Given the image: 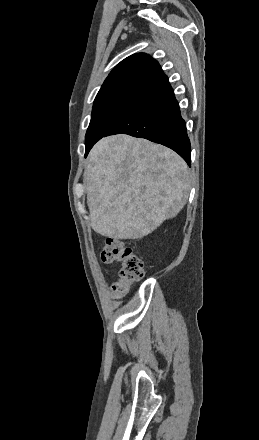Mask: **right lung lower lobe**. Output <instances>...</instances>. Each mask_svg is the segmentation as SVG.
<instances>
[{
	"label": "right lung lower lobe",
	"instance_id": "98d812e1",
	"mask_svg": "<svg viewBox=\"0 0 259 440\" xmlns=\"http://www.w3.org/2000/svg\"><path fill=\"white\" fill-rule=\"evenodd\" d=\"M119 133L167 146L191 166V146L186 124L181 117L167 76L155 84L143 99L103 136ZM98 140L86 145L85 156Z\"/></svg>",
	"mask_w": 259,
	"mask_h": 440
}]
</instances>
